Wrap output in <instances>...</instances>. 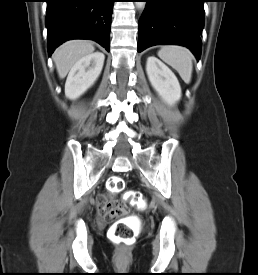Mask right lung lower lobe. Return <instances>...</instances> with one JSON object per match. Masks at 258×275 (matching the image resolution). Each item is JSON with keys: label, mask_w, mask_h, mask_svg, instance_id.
<instances>
[{"label": "right lung lower lobe", "mask_w": 258, "mask_h": 275, "mask_svg": "<svg viewBox=\"0 0 258 275\" xmlns=\"http://www.w3.org/2000/svg\"><path fill=\"white\" fill-rule=\"evenodd\" d=\"M115 0H46L48 51L70 39H90L109 51Z\"/></svg>", "instance_id": "1"}]
</instances>
